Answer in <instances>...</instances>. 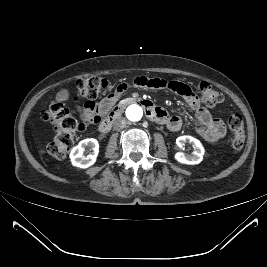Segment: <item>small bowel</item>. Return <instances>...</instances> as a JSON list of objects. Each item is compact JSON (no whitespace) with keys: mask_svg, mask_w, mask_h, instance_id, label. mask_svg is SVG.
Returning a JSON list of instances; mask_svg holds the SVG:
<instances>
[{"mask_svg":"<svg viewBox=\"0 0 267 267\" xmlns=\"http://www.w3.org/2000/svg\"><path fill=\"white\" fill-rule=\"evenodd\" d=\"M134 86L157 90H168L179 95L194 111L193 121L197 126V133L202 138L209 142H217L225 136V124L219 118L213 117L210 111L201 105L199 97L188 84L161 78L140 76L131 81L121 83L113 92L107 95L99 103L86 102L81 108L84 117L94 122L98 121L100 115L105 114L117 102L123 92ZM69 97L70 94L67 89H63L58 93V98L60 100H68ZM159 110L164 118L162 122L163 124L172 131H178L181 129L183 119L180 116H169L165 110L161 108H159Z\"/></svg>","mask_w":267,"mask_h":267,"instance_id":"1","label":"small bowel"}]
</instances>
